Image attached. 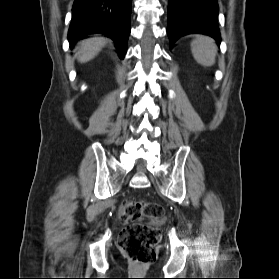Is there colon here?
<instances>
[{
    "mask_svg": "<svg viewBox=\"0 0 279 279\" xmlns=\"http://www.w3.org/2000/svg\"><path fill=\"white\" fill-rule=\"evenodd\" d=\"M125 227L120 233L118 246L132 261L147 264L155 260L161 239L157 222L165 215L164 207L146 200H125L120 209Z\"/></svg>",
    "mask_w": 279,
    "mask_h": 279,
    "instance_id": "obj_1",
    "label": "colon"
}]
</instances>
